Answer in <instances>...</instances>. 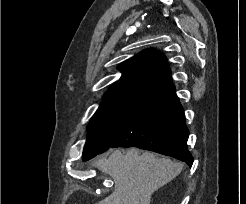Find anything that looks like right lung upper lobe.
I'll return each mask as SVG.
<instances>
[{"instance_id": "obj_1", "label": "right lung upper lobe", "mask_w": 246, "mask_h": 204, "mask_svg": "<svg viewBox=\"0 0 246 204\" xmlns=\"http://www.w3.org/2000/svg\"><path fill=\"white\" fill-rule=\"evenodd\" d=\"M121 78L104 95L103 101L137 100L171 81L166 57L147 49L119 65Z\"/></svg>"}]
</instances>
